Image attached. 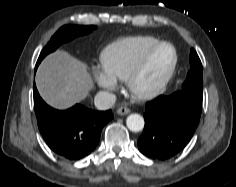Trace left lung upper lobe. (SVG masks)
Segmentation results:
<instances>
[{"label":"left lung upper lobe","mask_w":236,"mask_h":187,"mask_svg":"<svg viewBox=\"0 0 236 187\" xmlns=\"http://www.w3.org/2000/svg\"><path fill=\"white\" fill-rule=\"evenodd\" d=\"M191 69L182 85L181 92L195 97L197 100H203V75L202 63L194 49L190 52Z\"/></svg>","instance_id":"1"}]
</instances>
